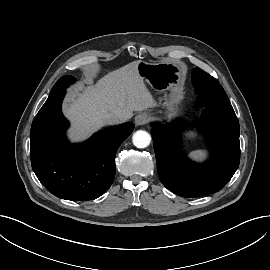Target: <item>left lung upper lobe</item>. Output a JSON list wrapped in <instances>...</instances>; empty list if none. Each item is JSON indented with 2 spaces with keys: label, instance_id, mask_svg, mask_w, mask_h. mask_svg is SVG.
<instances>
[{
  "label": "left lung upper lobe",
  "instance_id": "obj_1",
  "mask_svg": "<svg viewBox=\"0 0 270 270\" xmlns=\"http://www.w3.org/2000/svg\"><path fill=\"white\" fill-rule=\"evenodd\" d=\"M192 81L195 91L201 96L203 103L230 104L218 81L200 68L193 69Z\"/></svg>",
  "mask_w": 270,
  "mask_h": 270
}]
</instances>
